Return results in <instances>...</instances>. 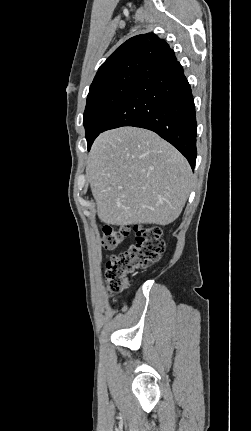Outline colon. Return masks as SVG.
Here are the masks:
<instances>
[{"instance_id": "obj_1", "label": "colon", "mask_w": 251, "mask_h": 431, "mask_svg": "<svg viewBox=\"0 0 251 431\" xmlns=\"http://www.w3.org/2000/svg\"><path fill=\"white\" fill-rule=\"evenodd\" d=\"M135 231V244L126 251L112 256L106 264V281L109 291L113 294L122 292L129 275L157 262L164 251L165 243L160 227H136ZM128 234L129 229L126 227L115 229L106 225L102 228V244L107 249H114Z\"/></svg>"}]
</instances>
